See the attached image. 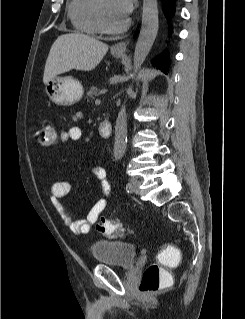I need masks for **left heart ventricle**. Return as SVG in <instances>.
<instances>
[{
    "label": "left heart ventricle",
    "instance_id": "b2bd125f",
    "mask_svg": "<svg viewBox=\"0 0 245 319\" xmlns=\"http://www.w3.org/2000/svg\"><path fill=\"white\" fill-rule=\"evenodd\" d=\"M102 5L105 12V17L109 24L119 25L125 21L117 15L114 8V0H102Z\"/></svg>",
    "mask_w": 245,
    "mask_h": 319
}]
</instances>
